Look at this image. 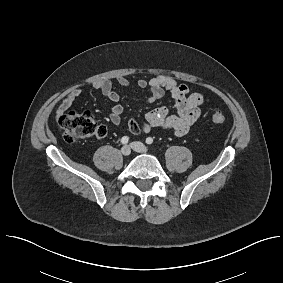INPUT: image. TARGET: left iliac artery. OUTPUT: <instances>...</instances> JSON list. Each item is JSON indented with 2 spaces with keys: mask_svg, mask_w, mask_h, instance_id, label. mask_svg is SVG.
I'll use <instances>...</instances> for the list:
<instances>
[{
  "mask_svg": "<svg viewBox=\"0 0 283 283\" xmlns=\"http://www.w3.org/2000/svg\"><path fill=\"white\" fill-rule=\"evenodd\" d=\"M146 143L147 144H152L153 143V139L151 137L146 138Z\"/></svg>",
  "mask_w": 283,
  "mask_h": 283,
  "instance_id": "left-iliac-artery-1",
  "label": "left iliac artery"
}]
</instances>
